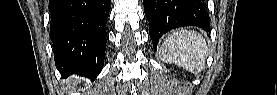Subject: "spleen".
<instances>
[{
    "label": "spleen",
    "mask_w": 277,
    "mask_h": 95,
    "mask_svg": "<svg viewBox=\"0 0 277 95\" xmlns=\"http://www.w3.org/2000/svg\"><path fill=\"white\" fill-rule=\"evenodd\" d=\"M207 43L195 31L181 29L166 38L160 48V58L175 63L192 73H200L205 66Z\"/></svg>",
    "instance_id": "3e777b00"
}]
</instances>
